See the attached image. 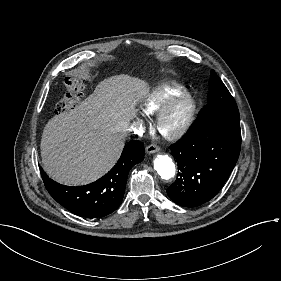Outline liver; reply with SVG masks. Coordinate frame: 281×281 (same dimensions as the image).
<instances>
[{
    "mask_svg": "<svg viewBox=\"0 0 281 281\" xmlns=\"http://www.w3.org/2000/svg\"><path fill=\"white\" fill-rule=\"evenodd\" d=\"M149 97V83L138 77L102 79L79 105L46 123L40 141L43 169L70 184L101 177L119 160L130 124Z\"/></svg>",
    "mask_w": 281,
    "mask_h": 281,
    "instance_id": "6515ba94",
    "label": "liver"
}]
</instances>
